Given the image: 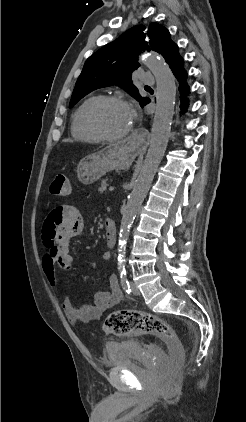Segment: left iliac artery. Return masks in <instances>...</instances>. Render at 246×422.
I'll return each mask as SVG.
<instances>
[{"mask_svg": "<svg viewBox=\"0 0 246 422\" xmlns=\"http://www.w3.org/2000/svg\"><path fill=\"white\" fill-rule=\"evenodd\" d=\"M120 279H121V286L123 288V290L130 294L131 293V288H130V284L129 281L127 279V273L125 269L120 270Z\"/></svg>", "mask_w": 246, "mask_h": 422, "instance_id": "left-iliac-artery-1", "label": "left iliac artery"}]
</instances>
